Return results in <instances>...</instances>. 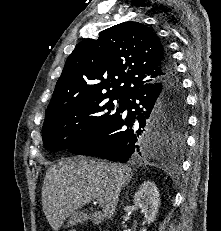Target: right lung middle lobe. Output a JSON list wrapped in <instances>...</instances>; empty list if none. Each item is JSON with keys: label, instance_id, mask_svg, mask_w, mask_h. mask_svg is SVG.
<instances>
[{"label": "right lung middle lobe", "instance_id": "dd1d6c3e", "mask_svg": "<svg viewBox=\"0 0 221 231\" xmlns=\"http://www.w3.org/2000/svg\"><path fill=\"white\" fill-rule=\"evenodd\" d=\"M115 99H119V108L114 103ZM123 103V98L109 95L68 102L45 118L42 128L45 148L51 152L73 149L101 131L120 111ZM151 123L155 133L182 145L187 126L186 104L168 98L162 100Z\"/></svg>", "mask_w": 221, "mask_h": 231}]
</instances>
